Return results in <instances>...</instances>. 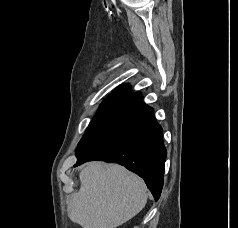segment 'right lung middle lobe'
Wrapping results in <instances>:
<instances>
[{
	"label": "right lung middle lobe",
	"instance_id": "right-lung-middle-lobe-1",
	"mask_svg": "<svg viewBox=\"0 0 238 228\" xmlns=\"http://www.w3.org/2000/svg\"><path fill=\"white\" fill-rule=\"evenodd\" d=\"M117 116H97L93 118L90 122L85 134L81 138L77 149L86 144L89 140H91L94 136H96L100 131H102L105 127H107L111 122L118 119Z\"/></svg>",
	"mask_w": 238,
	"mask_h": 228
}]
</instances>
